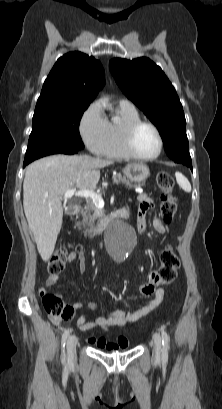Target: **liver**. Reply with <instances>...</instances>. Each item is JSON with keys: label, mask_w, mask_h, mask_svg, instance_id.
I'll return each mask as SVG.
<instances>
[{"label": "liver", "mask_w": 222, "mask_h": 409, "mask_svg": "<svg viewBox=\"0 0 222 409\" xmlns=\"http://www.w3.org/2000/svg\"><path fill=\"white\" fill-rule=\"evenodd\" d=\"M111 164L112 160L87 155H53L26 168L23 207L43 261L51 257L62 227V195L76 187L93 190L100 179V169Z\"/></svg>", "instance_id": "6515ba94"}]
</instances>
